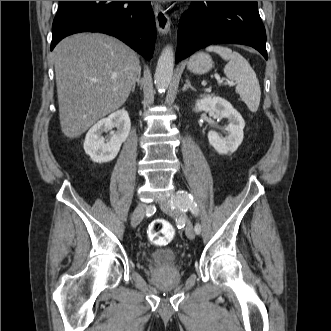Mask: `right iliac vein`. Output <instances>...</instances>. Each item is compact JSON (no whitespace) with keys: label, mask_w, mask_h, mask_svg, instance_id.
Wrapping results in <instances>:
<instances>
[{"label":"right iliac vein","mask_w":331,"mask_h":331,"mask_svg":"<svg viewBox=\"0 0 331 331\" xmlns=\"http://www.w3.org/2000/svg\"><path fill=\"white\" fill-rule=\"evenodd\" d=\"M145 208L146 205L143 202L138 203L134 213H133V217H132V227H136L140 221L142 220L143 216H144V212H145Z\"/></svg>","instance_id":"right-iliac-vein-1"}]
</instances>
